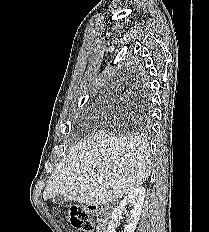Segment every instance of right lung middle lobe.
Instances as JSON below:
<instances>
[{"instance_id": "obj_1", "label": "right lung middle lobe", "mask_w": 209, "mask_h": 232, "mask_svg": "<svg viewBox=\"0 0 209 232\" xmlns=\"http://www.w3.org/2000/svg\"><path fill=\"white\" fill-rule=\"evenodd\" d=\"M149 97L147 94L144 95L142 101L138 105V114L135 117L137 125L143 129L149 128Z\"/></svg>"}]
</instances>
